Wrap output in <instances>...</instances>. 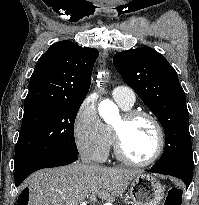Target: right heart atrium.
<instances>
[{
	"mask_svg": "<svg viewBox=\"0 0 199 205\" xmlns=\"http://www.w3.org/2000/svg\"><path fill=\"white\" fill-rule=\"evenodd\" d=\"M73 136L82 156L96 162H103L108 157L111 135L100 120L92 98H86L80 104L73 122Z\"/></svg>",
	"mask_w": 199,
	"mask_h": 205,
	"instance_id": "d8ad5b80",
	"label": "right heart atrium"
}]
</instances>
